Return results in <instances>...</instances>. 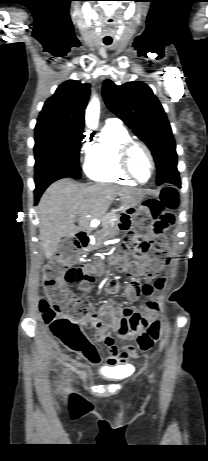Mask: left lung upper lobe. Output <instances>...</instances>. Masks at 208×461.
I'll return each mask as SVG.
<instances>
[{
    "label": "left lung upper lobe",
    "instance_id": "left-lung-upper-lobe-1",
    "mask_svg": "<svg viewBox=\"0 0 208 461\" xmlns=\"http://www.w3.org/2000/svg\"><path fill=\"white\" fill-rule=\"evenodd\" d=\"M103 96L108 108L143 140L152 152L157 166V184L178 174L176 145L166 114L151 88L143 82L117 86L111 80L103 83Z\"/></svg>",
    "mask_w": 208,
    "mask_h": 461
}]
</instances>
